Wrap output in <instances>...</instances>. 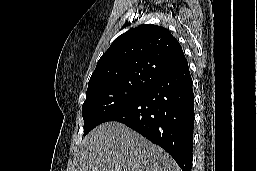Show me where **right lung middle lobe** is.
<instances>
[{"label": "right lung middle lobe", "instance_id": "dd1d6c3e", "mask_svg": "<svg viewBox=\"0 0 257 171\" xmlns=\"http://www.w3.org/2000/svg\"><path fill=\"white\" fill-rule=\"evenodd\" d=\"M148 85L143 83H114L87 90L82 106L84 135L105 122L115 111L123 107Z\"/></svg>", "mask_w": 257, "mask_h": 171}]
</instances>
